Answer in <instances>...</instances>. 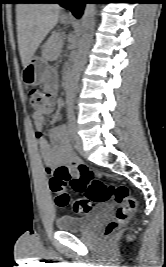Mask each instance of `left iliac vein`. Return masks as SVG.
I'll return each instance as SVG.
<instances>
[{"instance_id":"4c4485c4","label":"left iliac vein","mask_w":166,"mask_h":267,"mask_svg":"<svg viewBox=\"0 0 166 267\" xmlns=\"http://www.w3.org/2000/svg\"><path fill=\"white\" fill-rule=\"evenodd\" d=\"M74 141H75V146L77 150L83 154V146H82V139L81 137L75 132L74 134Z\"/></svg>"}]
</instances>
